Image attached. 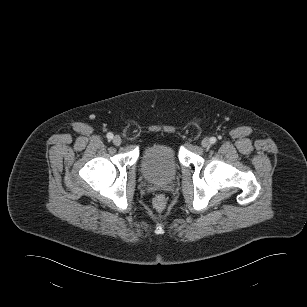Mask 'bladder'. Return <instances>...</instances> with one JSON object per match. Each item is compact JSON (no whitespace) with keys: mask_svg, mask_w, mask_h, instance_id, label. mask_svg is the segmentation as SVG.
Returning a JSON list of instances; mask_svg holds the SVG:
<instances>
[{"mask_svg":"<svg viewBox=\"0 0 307 307\" xmlns=\"http://www.w3.org/2000/svg\"><path fill=\"white\" fill-rule=\"evenodd\" d=\"M140 168L148 181L169 182L175 178L179 170L178 153L171 144H153L145 149Z\"/></svg>","mask_w":307,"mask_h":307,"instance_id":"obj_1","label":"bladder"}]
</instances>
